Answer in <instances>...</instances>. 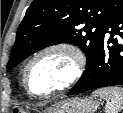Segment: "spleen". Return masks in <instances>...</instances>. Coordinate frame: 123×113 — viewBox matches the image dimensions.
Listing matches in <instances>:
<instances>
[{
  "label": "spleen",
  "mask_w": 123,
  "mask_h": 113,
  "mask_svg": "<svg viewBox=\"0 0 123 113\" xmlns=\"http://www.w3.org/2000/svg\"><path fill=\"white\" fill-rule=\"evenodd\" d=\"M92 95L106 101L105 113H119L123 109V88L108 87L98 89Z\"/></svg>",
  "instance_id": "3e777b00"
}]
</instances>
